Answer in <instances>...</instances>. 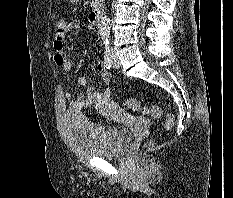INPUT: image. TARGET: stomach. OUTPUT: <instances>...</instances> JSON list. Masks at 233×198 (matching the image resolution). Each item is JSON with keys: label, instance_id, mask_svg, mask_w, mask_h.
<instances>
[{"label": "stomach", "instance_id": "obj_1", "mask_svg": "<svg viewBox=\"0 0 233 198\" xmlns=\"http://www.w3.org/2000/svg\"><path fill=\"white\" fill-rule=\"evenodd\" d=\"M71 3L75 4L78 3L80 0H69Z\"/></svg>", "mask_w": 233, "mask_h": 198}]
</instances>
